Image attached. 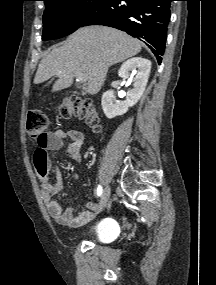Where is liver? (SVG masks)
<instances>
[{
  "mask_svg": "<svg viewBox=\"0 0 216 285\" xmlns=\"http://www.w3.org/2000/svg\"><path fill=\"white\" fill-rule=\"evenodd\" d=\"M140 51V41L122 31L103 26L80 28L41 60L34 83L57 75L59 78L52 91H60L70 87L75 73L81 72L87 77V92L95 95L103 86L111 65Z\"/></svg>",
  "mask_w": 216,
  "mask_h": 285,
  "instance_id": "1",
  "label": "liver"
}]
</instances>
